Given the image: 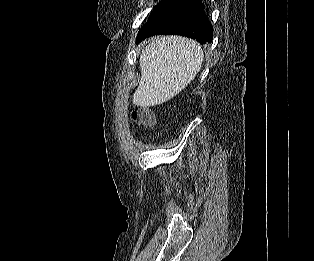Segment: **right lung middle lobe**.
<instances>
[{
    "mask_svg": "<svg viewBox=\"0 0 314 261\" xmlns=\"http://www.w3.org/2000/svg\"><path fill=\"white\" fill-rule=\"evenodd\" d=\"M175 0H162L155 8L153 9L149 19H153L155 16L160 14L163 10H165L168 6H170Z\"/></svg>",
    "mask_w": 314,
    "mask_h": 261,
    "instance_id": "dd1d6c3e",
    "label": "right lung middle lobe"
}]
</instances>
